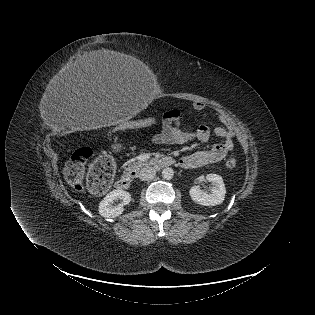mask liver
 <instances>
[{
  "label": "liver",
  "mask_w": 315,
  "mask_h": 315,
  "mask_svg": "<svg viewBox=\"0 0 315 315\" xmlns=\"http://www.w3.org/2000/svg\"><path fill=\"white\" fill-rule=\"evenodd\" d=\"M138 63L130 55L106 49L95 50L83 56L57 77L70 81H101L126 77ZM111 123V122H109Z\"/></svg>",
  "instance_id": "obj_1"
}]
</instances>
